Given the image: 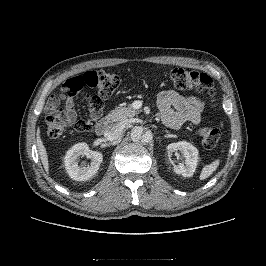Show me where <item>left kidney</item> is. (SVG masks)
<instances>
[{"instance_id":"left-kidney-1","label":"left kidney","mask_w":266,"mask_h":266,"mask_svg":"<svg viewBox=\"0 0 266 266\" xmlns=\"http://www.w3.org/2000/svg\"><path fill=\"white\" fill-rule=\"evenodd\" d=\"M177 151L182 153L184 157L183 163L174 164L171 160L173 153ZM166 152L176 174L183 177H191L194 174L198 162V150L191 143L186 141L171 143L167 146Z\"/></svg>"}]
</instances>
